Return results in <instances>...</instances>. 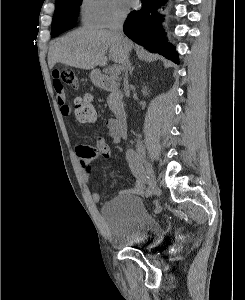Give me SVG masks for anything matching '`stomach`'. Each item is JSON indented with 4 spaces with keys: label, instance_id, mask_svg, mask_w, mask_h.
Listing matches in <instances>:
<instances>
[{
    "label": "stomach",
    "instance_id": "1",
    "mask_svg": "<svg viewBox=\"0 0 245 300\" xmlns=\"http://www.w3.org/2000/svg\"><path fill=\"white\" fill-rule=\"evenodd\" d=\"M91 77H92V78L94 77V73L91 74Z\"/></svg>",
    "mask_w": 245,
    "mask_h": 300
}]
</instances>
